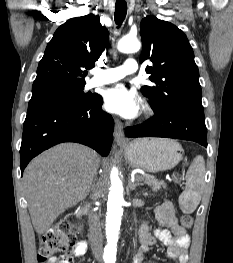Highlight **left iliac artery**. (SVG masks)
<instances>
[{"mask_svg": "<svg viewBox=\"0 0 233 263\" xmlns=\"http://www.w3.org/2000/svg\"><path fill=\"white\" fill-rule=\"evenodd\" d=\"M108 263H115V261H110V262H108Z\"/></svg>", "mask_w": 233, "mask_h": 263, "instance_id": "left-iliac-artery-1", "label": "left iliac artery"}]
</instances>
